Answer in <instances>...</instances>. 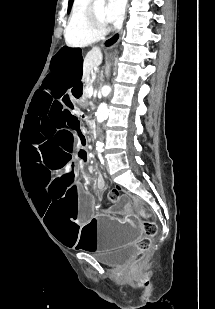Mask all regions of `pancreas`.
<instances>
[{
  "mask_svg": "<svg viewBox=\"0 0 215 309\" xmlns=\"http://www.w3.org/2000/svg\"><path fill=\"white\" fill-rule=\"evenodd\" d=\"M90 86H93V80L92 78H87V80H84V90L82 94V98H89L88 92H86L85 88H90Z\"/></svg>",
  "mask_w": 215,
  "mask_h": 309,
  "instance_id": "obj_1",
  "label": "pancreas"
}]
</instances>
